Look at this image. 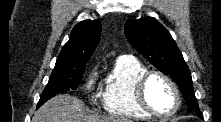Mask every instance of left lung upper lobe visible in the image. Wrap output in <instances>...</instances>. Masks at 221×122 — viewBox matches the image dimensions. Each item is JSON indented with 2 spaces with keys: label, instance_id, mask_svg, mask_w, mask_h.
<instances>
[{
  "label": "left lung upper lobe",
  "instance_id": "left-lung-upper-lobe-1",
  "mask_svg": "<svg viewBox=\"0 0 221 122\" xmlns=\"http://www.w3.org/2000/svg\"><path fill=\"white\" fill-rule=\"evenodd\" d=\"M125 34L139 53L176 82L187 106L198 109L191 73L170 33L156 19L145 17L127 21Z\"/></svg>",
  "mask_w": 221,
  "mask_h": 122
}]
</instances>
